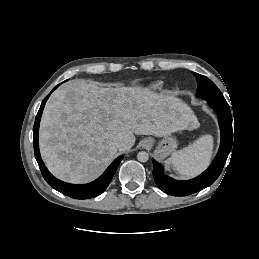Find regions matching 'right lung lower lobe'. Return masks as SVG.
I'll use <instances>...</instances> for the list:
<instances>
[{"mask_svg":"<svg viewBox=\"0 0 259 259\" xmlns=\"http://www.w3.org/2000/svg\"><path fill=\"white\" fill-rule=\"evenodd\" d=\"M60 85V84H59ZM59 85H57L51 92H53ZM50 96L47 95L45 99L43 100L40 109L37 113L34 128H33V145H34V154L35 158L38 162V165L40 167L41 173L44 177V179L47 181V183L52 186L55 190L59 191L60 193L67 195L71 198L75 199H89L96 197L100 195L109 185L111 182L113 175L121 162L123 156L118 157L101 175L98 179L95 181L85 184V185H73L69 183H65L63 181L58 180L55 178L45 167L41 156L39 152V143H38V132H39V124L40 119L42 116V112L45 106V103Z\"/></svg>","mask_w":259,"mask_h":259,"instance_id":"1","label":"right lung lower lobe"}]
</instances>
